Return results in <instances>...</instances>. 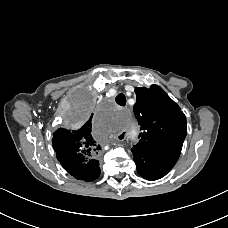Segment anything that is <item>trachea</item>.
<instances>
[{
	"instance_id": "obj_1",
	"label": "trachea",
	"mask_w": 228,
	"mask_h": 228,
	"mask_svg": "<svg viewBox=\"0 0 228 228\" xmlns=\"http://www.w3.org/2000/svg\"><path fill=\"white\" fill-rule=\"evenodd\" d=\"M116 103L120 106H125L126 105V97L124 94H118L115 98Z\"/></svg>"
}]
</instances>
